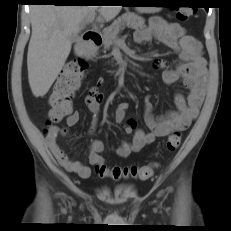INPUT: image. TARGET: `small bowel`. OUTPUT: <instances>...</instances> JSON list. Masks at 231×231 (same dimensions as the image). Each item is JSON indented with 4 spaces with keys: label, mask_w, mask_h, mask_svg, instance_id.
Instances as JSON below:
<instances>
[{
    "label": "small bowel",
    "mask_w": 231,
    "mask_h": 231,
    "mask_svg": "<svg viewBox=\"0 0 231 231\" xmlns=\"http://www.w3.org/2000/svg\"><path fill=\"white\" fill-rule=\"evenodd\" d=\"M153 40L170 47L179 56V64L176 68L164 70L163 81L167 85L182 81L188 93L186 96L176 94L174 99L176 109L160 116H155L151 104L147 103L144 121L148 131L138 129L136 122L133 119H128L124 124V131L126 134L132 135V140L123 142L116 149V154L123 158L128 157L131 153L139 152L146 145L153 143L156 138L167 136L172 131L185 130L196 119L205 96L207 84L206 63L201 53L199 41L188 35L185 28L180 24L168 22L160 17L152 18L146 28L138 30L134 34V41L138 44L149 43ZM154 67H162V63L156 62ZM101 84L102 79H99L85 98V103L93 114L90 127L91 134L96 131L98 124L97 115L103 98L100 92ZM128 106L126 102H120L116 105L114 110L116 123H124ZM79 120V112L72 110L67 116L66 123L69 127H72ZM59 131L58 126H52L46 135V143L54 157L68 172L87 178L91 174L89 165L104 164L101 155L104 149L102 141L93 140L90 143L89 165H87L69 158L57 142Z\"/></svg>",
    "instance_id": "obj_1"
}]
</instances>
